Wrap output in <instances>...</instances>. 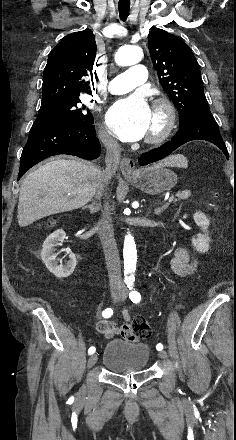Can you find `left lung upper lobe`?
I'll return each mask as SVG.
<instances>
[{
	"instance_id": "1",
	"label": "left lung upper lobe",
	"mask_w": 236,
	"mask_h": 440,
	"mask_svg": "<svg viewBox=\"0 0 236 440\" xmlns=\"http://www.w3.org/2000/svg\"><path fill=\"white\" fill-rule=\"evenodd\" d=\"M148 48L160 83L180 115V125L196 112L209 109L204 95L200 68L191 49L182 39L154 28Z\"/></svg>"
}]
</instances>
